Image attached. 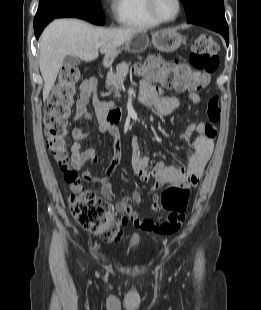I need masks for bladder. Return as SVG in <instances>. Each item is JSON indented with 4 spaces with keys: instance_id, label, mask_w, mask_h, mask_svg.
<instances>
[{
    "instance_id": "1",
    "label": "bladder",
    "mask_w": 261,
    "mask_h": 310,
    "mask_svg": "<svg viewBox=\"0 0 261 310\" xmlns=\"http://www.w3.org/2000/svg\"><path fill=\"white\" fill-rule=\"evenodd\" d=\"M141 241H142V238L139 235L134 236L131 240L130 247L135 248L139 246Z\"/></svg>"
}]
</instances>
